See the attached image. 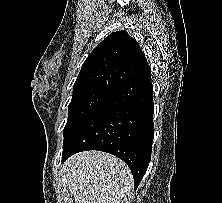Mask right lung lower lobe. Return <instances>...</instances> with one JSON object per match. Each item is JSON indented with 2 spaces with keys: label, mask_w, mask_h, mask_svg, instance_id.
Segmentation results:
<instances>
[{
  "label": "right lung lower lobe",
  "mask_w": 222,
  "mask_h": 203,
  "mask_svg": "<svg viewBox=\"0 0 222 203\" xmlns=\"http://www.w3.org/2000/svg\"><path fill=\"white\" fill-rule=\"evenodd\" d=\"M152 93L148 67L113 92L64 136L62 163L81 151L111 153L129 166L136 189L151 159Z\"/></svg>",
  "instance_id": "obj_1"
}]
</instances>
